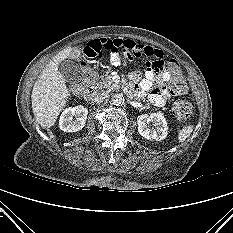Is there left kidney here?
Instances as JSON below:
<instances>
[{"label": "left kidney", "mask_w": 233, "mask_h": 233, "mask_svg": "<svg viewBox=\"0 0 233 233\" xmlns=\"http://www.w3.org/2000/svg\"><path fill=\"white\" fill-rule=\"evenodd\" d=\"M150 122L153 123V127L149 126ZM137 124L139 134L146 139L161 141L165 139L168 134L166 119L160 112L138 116Z\"/></svg>", "instance_id": "obj_1"}]
</instances>
